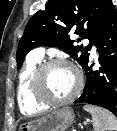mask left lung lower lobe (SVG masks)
<instances>
[{
    "label": "left lung lower lobe",
    "mask_w": 117,
    "mask_h": 131,
    "mask_svg": "<svg viewBox=\"0 0 117 131\" xmlns=\"http://www.w3.org/2000/svg\"><path fill=\"white\" fill-rule=\"evenodd\" d=\"M99 67L94 70L89 61L83 67L86 84L74 103H87L108 109L117 117V11L107 10L96 42Z\"/></svg>",
    "instance_id": "left-lung-lower-lobe-1"
}]
</instances>
